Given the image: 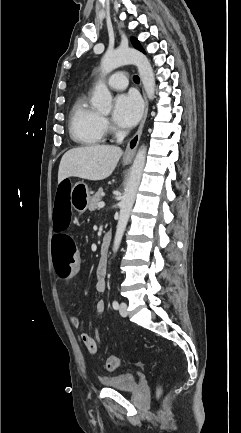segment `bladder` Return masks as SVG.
<instances>
[{"mask_svg":"<svg viewBox=\"0 0 241 433\" xmlns=\"http://www.w3.org/2000/svg\"><path fill=\"white\" fill-rule=\"evenodd\" d=\"M100 383L105 387L120 391H133L138 386V377L132 372H122L116 375L103 376Z\"/></svg>","mask_w":241,"mask_h":433,"instance_id":"bladder-1","label":"bladder"}]
</instances>
